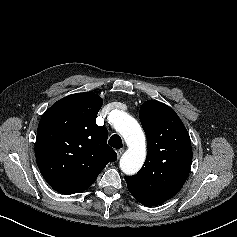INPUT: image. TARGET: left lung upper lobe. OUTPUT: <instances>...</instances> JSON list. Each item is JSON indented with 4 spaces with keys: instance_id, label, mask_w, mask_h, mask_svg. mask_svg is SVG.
Returning a JSON list of instances; mask_svg holds the SVG:
<instances>
[{
    "instance_id": "1",
    "label": "left lung upper lobe",
    "mask_w": 237,
    "mask_h": 237,
    "mask_svg": "<svg viewBox=\"0 0 237 237\" xmlns=\"http://www.w3.org/2000/svg\"><path fill=\"white\" fill-rule=\"evenodd\" d=\"M139 116L147 157L141 170L125 180L132 196L149 207L169 200L182 188L190 172L192 148L184 124L166 104L148 100Z\"/></svg>"
}]
</instances>
